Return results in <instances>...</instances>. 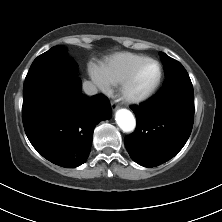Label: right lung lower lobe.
I'll use <instances>...</instances> for the list:
<instances>
[{"label": "right lung lower lobe", "instance_id": "98d812e1", "mask_svg": "<svg viewBox=\"0 0 222 222\" xmlns=\"http://www.w3.org/2000/svg\"><path fill=\"white\" fill-rule=\"evenodd\" d=\"M66 93H37L23 99L22 119L33 147L50 162L73 168L90 153L94 127L109 119L111 106L104 95L81 94L80 81Z\"/></svg>", "mask_w": 222, "mask_h": 222}]
</instances>
